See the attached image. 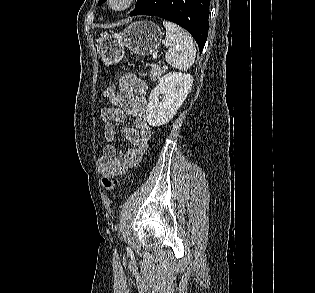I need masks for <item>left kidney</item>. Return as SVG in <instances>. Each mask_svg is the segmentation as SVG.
Segmentation results:
<instances>
[{"instance_id":"1","label":"left kidney","mask_w":315,"mask_h":293,"mask_svg":"<svg viewBox=\"0 0 315 293\" xmlns=\"http://www.w3.org/2000/svg\"><path fill=\"white\" fill-rule=\"evenodd\" d=\"M193 84L190 74L170 72L151 91L146 110L147 122L157 127L168 123L186 99ZM163 94L162 101L159 95Z\"/></svg>"}]
</instances>
